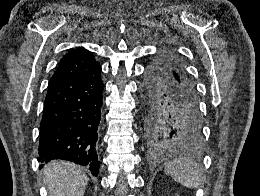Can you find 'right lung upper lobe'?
Returning a JSON list of instances; mask_svg holds the SVG:
<instances>
[{
  "instance_id": "right-lung-upper-lobe-1",
  "label": "right lung upper lobe",
  "mask_w": 260,
  "mask_h": 196,
  "mask_svg": "<svg viewBox=\"0 0 260 196\" xmlns=\"http://www.w3.org/2000/svg\"><path fill=\"white\" fill-rule=\"evenodd\" d=\"M100 70L101 66L88 50L77 48L69 51L61 59L56 72L49 81L48 87L68 80L86 78Z\"/></svg>"
}]
</instances>
